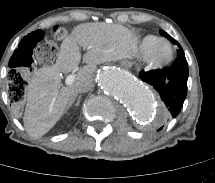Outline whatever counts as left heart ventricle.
<instances>
[{
	"label": "left heart ventricle",
	"mask_w": 215,
	"mask_h": 183,
	"mask_svg": "<svg viewBox=\"0 0 215 183\" xmlns=\"http://www.w3.org/2000/svg\"><path fill=\"white\" fill-rule=\"evenodd\" d=\"M167 51H168L167 47H166V46H163V47L160 49L159 54L164 55V54L167 53Z\"/></svg>",
	"instance_id": "b2bd125f"
}]
</instances>
